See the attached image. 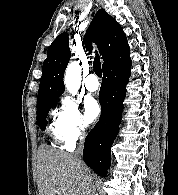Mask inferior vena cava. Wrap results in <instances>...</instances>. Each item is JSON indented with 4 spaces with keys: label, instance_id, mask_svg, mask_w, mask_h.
<instances>
[{
    "label": "inferior vena cava",
    "instance_id": "602c4592",
    "mask_svg": "<svg viewBox=\"0 0 178 195\" xmlns=\"http://www.w3.org/2000/svg\"><path fill=\"white\" fill-rule=\"evenodd\" d=\"M83 147H84V137H80L78 147H77V149H76V151L74 152L73 155L78 160V162L82 165V168L84 170H86V168L84 166V163L82 162V159H81L82 158ZM94 191H95V188H94V185L92 184L91 187H90L89 195H95Z\"/></svg>",
    "mask_w": 178,
    "mask_h": 195
}]
</instances>
